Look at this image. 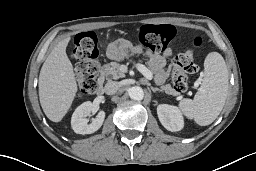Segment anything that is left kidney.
Wrapping results in <instances>:
<instances>
[{"label": "left kidney", "mask_w": 256, "mask_h": 171, "mask_svg": "<svg viewBox=\"0 0 256 171\" xmlns=\"http://www.w3.org/2000/svg\"><path fill=\"white\" fill-rule=\"evenodd\" d=\"M157 114L161 124L171 132L180 131L184 126L182 114L175 106L161 104L157 107Z\"/></svg>", "instance_id": "left-kidney-1"}]
</instances>
